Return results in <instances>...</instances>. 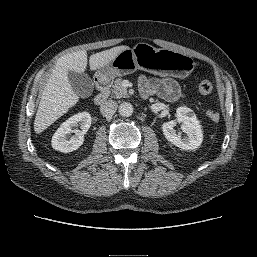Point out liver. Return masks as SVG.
Returning a JSON list of instances; mask_svg holds the SVG:
<instances>
[{
	"label": "liver",
	"mask_w": 257,
	"mask_h": 257,
	"mask_svg": "<svg viewBox=\"0 0 257 257\" xmlns=\"http://www.w3.org/2000/svg\"><path fill=\"white\" fill-rule=\"evenodd\" d=\"M128 48V46L123 45L92 54L89 58L90 69L93 71L106 66L119 53ZM86 67L87 52L85 50L66 54L58 59L42 92L34 120L36 133L43 132L78 102L79 97L70 84L68 73L70 71L84 73Z\"/></svg>",
	"instance_id": "6515ba94"
}]
</instances>
